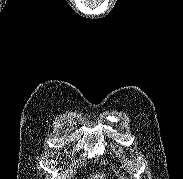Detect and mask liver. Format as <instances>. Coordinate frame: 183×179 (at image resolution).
Masks as SVG:
<instances>
[{
	"label": "liver",
	"mask_w": 183,
	"mask_h": 179,
	"mask_svg": "<svg viewBox=\"0 0 183 179\" xmlns=\"http://www.w3.org/2000/svg\"><path fill=\"white\" fill-rule=\"evenodd\" d=\"M105 177V174L100 173L91 175V179H104Z\"/></svg>",
	"instance_id": "liver-1"
}]
</instances>
